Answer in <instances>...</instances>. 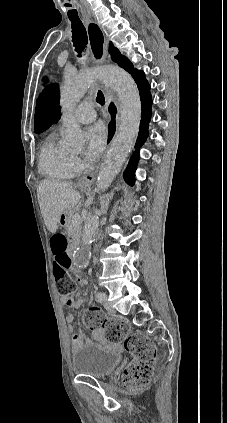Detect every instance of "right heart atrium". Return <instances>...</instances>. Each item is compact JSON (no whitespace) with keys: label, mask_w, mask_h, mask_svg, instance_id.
<instances>
[{"label":"right heart atrium","mask_w":227,"mask_h":423,"mask_svg":"<svg viewBox=\"0 0 227 423\" xmlns=\"http://www.w3.org/2000/svg\"><path fill=\"white\" fill-rule=\"evenodd\" d=\"M86 168L85 162L79 156H72L70 161V175L77 176L82 173Z\"/></svg>","instance_id":"right-heart-atrium-1"}]
</instances>
